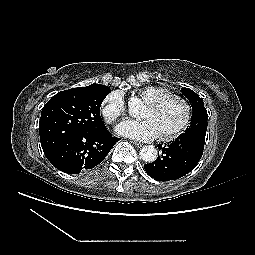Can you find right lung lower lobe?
<instances>
[{
  "label": "right lung lower lobe",
  "instance_id": "right-lung-lower-lobe-1",
  "mask_svg": "<svg viewBox=\"0 0 255 255\" xmlns=\"http://www.w3.org/2000/svg\"><path fill=\"white\" fill-rule=\"evenodd\" d=\"M117 141L106 127L97 133H78L63 141L47 159L58 170L78 174L101 163Z\"/></svg>",
  "mask_w": 255,
  "mask_h": 255
}]
</instances>
